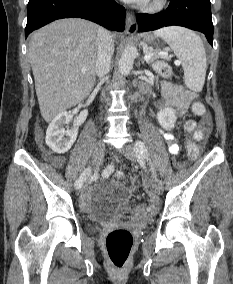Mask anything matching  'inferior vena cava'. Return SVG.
<instances>
[{
    "mask_svg": "<svg viewBox=\"0 0 233 284\" xmlns=\"http://www.w3.org/2000/svg\"><path fill=\"white\" fill-rule=\"evenodd\" d=\"M97 47L95 71L99 79L103 80L111 69L114 41L111 33L102 27H99L97 31Z\"/></svg>",
    "mask_w": 233,
    "mask_h": 284,
    "instance_id": "inferior-vena-cava-1",
    "label": "inferior vena cava"
}]
</instances>
